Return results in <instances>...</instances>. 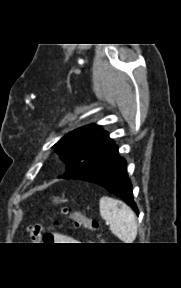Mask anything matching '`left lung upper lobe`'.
Here are the masks:
<instances>
[{"instance_id": "obj_1", "label": "left lung upper lobe", "mask_w": 181, "mask_h": 288, "mask_svg": "<svg viewBox=\"0 0 181 288\" xmlns=\"http://www.w3.org/2000/svg\"><path fill=\"white\" fill-rule=\"evenodd\" d=\"M53 147L67 164L65 179L87 176L117 149L108 133L95 124L70 132Z\"/></svg>"}]
</instances>
